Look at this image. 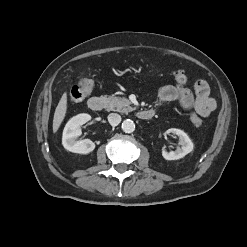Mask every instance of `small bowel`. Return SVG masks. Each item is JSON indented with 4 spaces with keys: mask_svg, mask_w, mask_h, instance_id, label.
Wrapping results in <instances>:
<instances>
[{
    "mask_svg": "<svg viewBox=\"0 0 247 247\" xmlns=\"http://www.w3.org/2000/svg\"><path fill=\"white\" fill-rule=\"evenodd\" d=\"M179 102L183 109L193 110L200 116H208L216 107V102L210 97V88L206 81L198 80L194 85V93L177 85L163 86L157 95L155 106L166 102Z\"/></svg>",
    "mask_w": 247,
    "mask_h": 247,
    "instance_id": "obj_1",
    "label": "small bowel"
}]
</instances>
